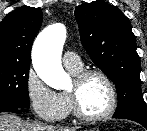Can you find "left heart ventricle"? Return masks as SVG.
Here are the masks:
<instances>
[{
	"mask_svg": "<svg viewBox=\"0 0 147 131\" xmlns=\"http://www.w3.org/2000/svg\"><path fill=\"white\" fill-rule=\"evenodd\" d=\"M68 90L77 93L81 109L88 115L100 114L108 107L109 91L100 77H89L79 85L73 80Z\"/></svg>",
	"mask_w": 147,
	"mask_h": 131,
	"instance_id": "left-heart-ventricle-1",
	"label": "left heart ventricle"
}]
</instances>
